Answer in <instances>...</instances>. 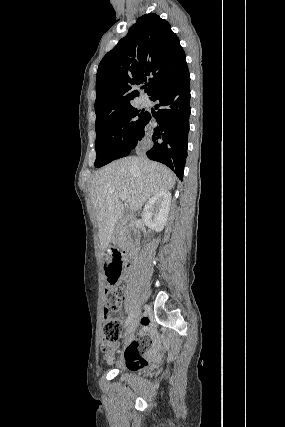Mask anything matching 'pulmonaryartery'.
Listing matches in <instances>:
<instances>
[{"label":"pulmonary artery","instance_id":"1","mask_svg":"<svg viewBox=\"0 0 285 427\" xmlns=\"http://www.w3.org/2000/svg\"><path fill=\"white\" fill-rule=\"evenodd\" d=\"M142 102H143V103H146V102H147V98H146V97H143V98H142Z\"/></svg>","mask_w":285,"mask_h":427}]
</instances>
